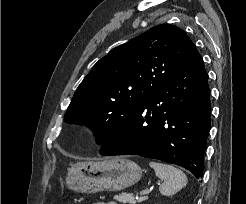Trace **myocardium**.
<instances>
[{
  "instance_id": "obj_1",
  "label": "myocardium",
  "mask_w": 246,
  "mask_h": 204,
  "mask_svg": "<svg viewBox=\"0 0 246 204\" xmlns=\"http://www.w3.org/2000/svg\"><path fill=\"white\" fill-rule=\"evenodd\" d=\"M86 134L89 136V135L92 134V131H91V130H87V131H86Z\"/></svg>"
}]
</instances>
